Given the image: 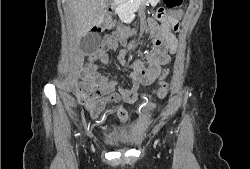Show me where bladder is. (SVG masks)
<instances>
[{
	"label": "bladder",
	"mask_w": 250,
	"mask_h": 169,
	"mask_svg": "<svg viewBox=\"0 0 250 169\" xmlns=\"http://www.w3.org/2000/svg\"><path fill=\"white\" fill-rule=\"evenodd\" d=\"M104 140L107 141L113 148H123L133 142L132 138L122 137L119 135L105 134Z\"/></svg>",
	"instance_id": "obj_1"
}]
</instances>
